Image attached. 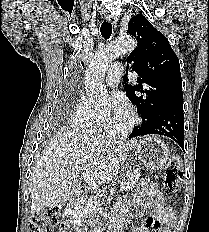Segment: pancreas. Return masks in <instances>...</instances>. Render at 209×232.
Instances as JSON below:
<instances>
[{
  "instance_id": "1",
  "label": "pancreas",
  "mask_w": 209,
  "mask_h": 232,
  "mask_svg": "<svg viewBox=\"0 0 209 232\" xmlns=\"http://www.w3.org/2000/svg\"><path fill=\"white\" fill-rule=\"evenodd\" d=\"M125 177L127 179L126 190H132L138 182V179L140 177V170H130L126 173ZM100 209V204L97 200L89 199L85 201L84 204L76 210V218L78 220H81L87 214L94 215L95 213H98Z\"/></svg>"
}]
</instances>
